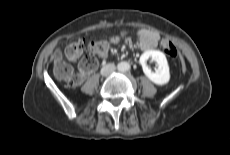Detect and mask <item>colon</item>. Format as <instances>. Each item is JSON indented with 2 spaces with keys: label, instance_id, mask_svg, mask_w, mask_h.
<instances>
[{
  "label": "colon",
  "instance_id": "obj_1",
  "mask_svg": "<svg viewBox=\"0 0 230 155\" xmlns=\"http://www.w3.org/2000/svg\"><path fill=\"white\" fill-rule=\"evenodd\" d=\"M161 48L172 59L176 60L179 56L178 49L174 43L168 39L161 40ZM108 44L105 41H92L87 47L88 54L80 63V68L84 72L93 71L97 66L96 57L107 52ZM84 52V42L76 40L68 44L63 51V55L70 61L78 60ZM53 73L56 78L64 81L67 86L73 87L77 79L73 76L72 68L64 61L61 55H56L53 60Z\"/></svg>",
  "mask_w": 230,
  "mask_h": 155
}]
</instances>
